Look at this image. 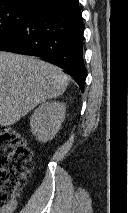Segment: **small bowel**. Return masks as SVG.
I'll return each mask as SVG.
<instances>
[{
    "mask_svg": "<svg viewBox=\"0 0 128 213\" xmlns=\"http://www.w3.org/2000/svg\"><path fill=\"white\" fill-rule=\"evenodd\" d=\"M17 209V201L11 200L0 206V213H14Z\"/></svg>",
    "mask_w": 128,
    "mask_h": 213,
    "instance_id": "1",
    "label": "small bowel"
}]
</instances>
